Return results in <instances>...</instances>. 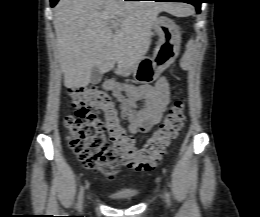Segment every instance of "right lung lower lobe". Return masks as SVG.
<instances>
[{
	"mask_svg": "<svg viewBox=\"0 0 260 217\" xmlns=\"http://www.w3.org/2000/svg\"><path fill=\"white\" fill-rule=\"evenodd\" d=\"M58 1H59V0H50L51 6H52V7L55 6ZM126 1H127V0H126Z\"/></svg>",
	"mask_w": 260,
	"mask_h": 217,
	"instance_id": "obj_1",
	"label": "right lung lower lobe"
}]
</instances>
